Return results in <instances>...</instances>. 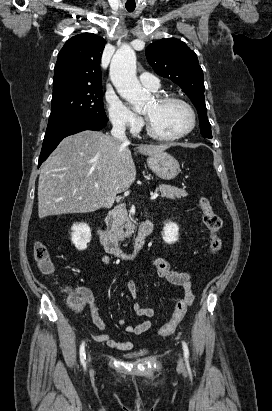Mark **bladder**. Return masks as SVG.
Segmentation results:
<instances>
[{"instance_id":"1","label":"bladder","mask_w":272,"mask_h":411,"mask_svg":"<svg viewBox=\"0 0 272 411\" xmlns=\"http://www.w3.org/2000/svg\"><path fill=\"white\" fill-rule=\"evenodd\" d=\"M143 357V355L141 354H131V355H127V358H140Z\"/></svg>"}]
</instances>
